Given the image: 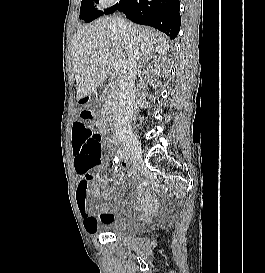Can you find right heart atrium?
Wrapping results in <instances>:
<instances>
[{"mask_svg":"<svg viewBox=\"0 0 265 273\" xmlns=\"http://www.w3.org/2000/svg\"><path fill=\"white\" fill-rule=\"evenodd\" d=\"M118 1L119 0H98L97 5L100 8H105L117 3Z\"/></svg>","mask_w":265,"mask_h":273,"instance_id":"d8ad5b80","label":"right heart atrium"}]
</instances>
